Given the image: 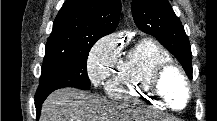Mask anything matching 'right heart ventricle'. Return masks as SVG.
I'll list each match as a JSON object with an SVG mask.
<instances>
[{"label": "right heart ventricle", "mask_w": 217, "mask_h": 121, "mask_svg": "<svg viewBox=\"0 0 217 121\" xmlns=\"http://www.w3.org/2000/svg\"><path fill=\"white\" fill-rule=\"evenodd\" d=\"M168 62H172V57L162 46L151 39H142L117 61L105 91L116 101L164 109L153 97L149 81L153 71Z\"/></svg>", "instance_id": "1"}]
</instances>
